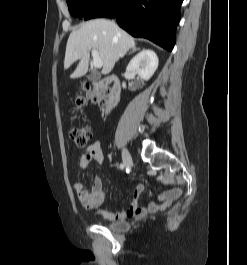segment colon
Listing matches in <instances>:
<instances>
[{"instance_id": "colon-1", "label": "colon", "mask_w": 247, "mask_h": 265, "mask_svg": "<svg viewBox=\"0 0 247 265\" xmlns=\"http://www.w3.org/2000/svg\"><path fill=\"white\" fill-rule=\"evenodd\" d=\"M109 92L103 88H96L87 91L84 95H79L75 97V107L77 109L83 108L88 100L92 102L99 103L101 105L107 104V98ZM92 136L91 128L86 125H72L69 128V137L75 143L78 148H85Z\"/></svg>"}]
</instances>
